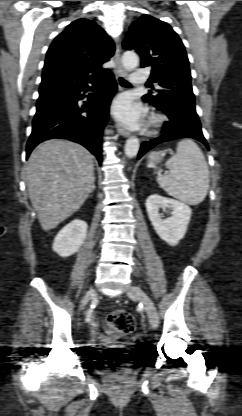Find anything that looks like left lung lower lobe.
Here are the masks:
<instances>
[{"label":"left lung lower lobe","instance_id":"obj_1","mask_svg":"<svg viewBox=\"0 0 242 416\" xmlns=\"http://www.w3.org/2000/svg\"><path fill=\"white\" fill-rule=\"evenodd\" d=\"M161 111L166 113L170 119L162 127L163 135L156 139L143 142L138 159L160 143L181 138H193L202 142L207 148L209 147L203 136L201 124L194 108L181 106L180 108H174L169 111Z\"/></svg>","mask_w":242,"mask_h":416}]
</instances>
